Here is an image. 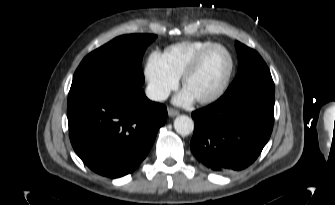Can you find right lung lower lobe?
I'll return each instance as SVG.
<instances>
[{
	"label": "right lung lower lobe",
	"instance_id": "obj_1",
	"mask_svg": "<svg viewBox=\"0 0 335 205\" xmlns=\"http://www.w3.org/2000/svg\"><path fill=\"white\" fill-rule=\"evenodd\" d=\"M67 116L70 141L81 160L100 175L118 178L147 156L167 110L142 89L93 90L68 97Z\"/></svg>",
	"mask_w": 335,
	"mask_h": 205
}]
</instances>
